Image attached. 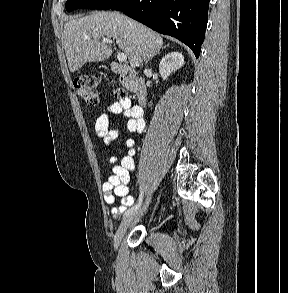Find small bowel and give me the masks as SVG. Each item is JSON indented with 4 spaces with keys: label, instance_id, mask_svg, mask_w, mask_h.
Instances as JSON below:
<instances>
[{
    "label": "small bowel",
    "instance_id": "obj_1",
    "mask_svg": "<svg viewBox=\"0 0 288 293\" xmlns=\"http://www.w3.org/2000/svg\"><path fill=\"white\" fill-rule=\"evenodd\" d=\"M117 114H123L128 118V131L141 134L145 129L143 109L140 106L132 105L128 98L115 101L107 107L95 122V135L106 150L112 147L114 140L119 136V130L111 128L113 118ZM126 146L128 150L122 158L119 159L115 155L110 156L109 164L112 174L102 185L104 200L111 207L114 217L122 215L134 203V198L129 195L128 187L131 172L135 169L136 150L134 140L127 139ZM116 197L121 198L119 205H116Z\"/></svg>",
    "mask_w": 288,
    "mask_h": 293
}]
</instances>
